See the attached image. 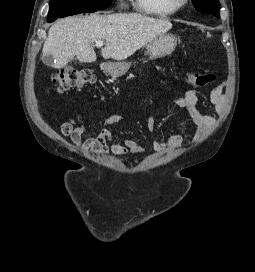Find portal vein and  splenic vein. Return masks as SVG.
<instances>
[{"mask_svg": "<svg viewBox=\"0 0 255 272\" xmlns=\"http://www.w3.org/2000/svg\"><path fill=\"white\" fill-rule=\"evenodd\" d=\"M95 45H96L97 47H102V46L104 45V42L101 41V40H98V41H96Z\"/></svg>", "mask_w": 255, "mask_h": 272, "instance_id": "18ae733b", "label": "portal vein and splenic vein"}]
</instances>
